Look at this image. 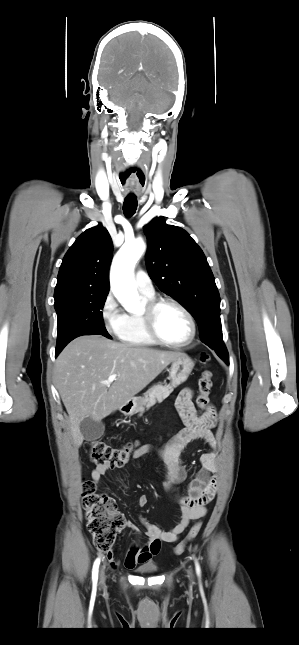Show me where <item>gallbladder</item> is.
Listing matches in <instances>:
<instances>
[{"label": "gallbladder", "mask_w": 299, "mask_h": 645, "mask_svg": "<svg viewBox=\"0 0 299 645\" xmlns=\"http://www.w3.org/2000/svg\"><path fill=\"white\" fill-rule=\"evenodd\" d=\"M80 431L86 441H93L104 434L105 425L101 421H95L88 417L81 421Z\"/></svg>", "instance_id": "gallbladder-1"}]
</instances>
